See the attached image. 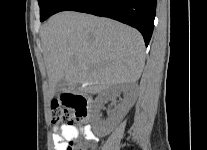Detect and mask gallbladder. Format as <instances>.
Listing matches in <instances>:
<instances>
[{
  "label": "gallbladder",
  "instance_id": "obj_1",
  "mask_svg": "<svg viewBox=\"0 0 207 150\" xmlns=\"http://www.w3.org/2000/svg\"><path fill=\"white\" fill-rule=\"evenodd\" d=\"M67 87H68V84H67L65 78H62L56 85V88H55L56 94H59V93L65 91L67 89Z\"/></svg>",
  "mask_w": 207,
  "mask_h": 150
}]
</instances>
